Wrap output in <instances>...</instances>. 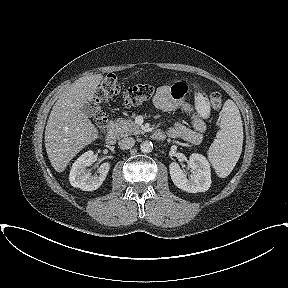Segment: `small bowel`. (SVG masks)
Returning a JSON list of instances; mask_svg holds the SVG:
<instances>
[{
  "label": "small bowel",
  "instance_id": "1",
  "mask_svg": "<svg viewBox=\"0 0 288 288\" xmlns=\"http://www.w3.org/2000/svg\"><path fill=\"white\" fill-rule=\"evenodd\" d=\"M190 81L185 77L174 79L158 86L153 98V105L162 111H182L191 115L192 128L182 123H176L167 130L170 137H178L189 143L198 144L206 131V121L210 117V103L206 94L196 88L193 104L186 100Z\"/></svg>",
  "mask_w": 288,
  "mask_h": 288
}]
</instances>
